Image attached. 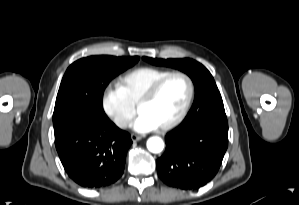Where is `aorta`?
<instances>
[{"mask_svg": "<svg viewBox=\"0 0 299 205\" xmlns=\"http://www.w3.org/2000/svg\"><path fill=\"white\" fill-rule=\"evenodd\" d=\"M147 148L152 153H160L164 149V142L160 137H150L147 140Z\"/></svg>", "mask_w": 299, "mask_h": 205, "instance_id": "1", "label": "aorta"}]
</instances>
